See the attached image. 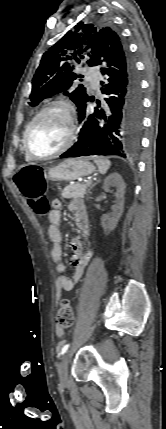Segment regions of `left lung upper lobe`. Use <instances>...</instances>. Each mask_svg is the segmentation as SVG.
<instances>
[{
	"mask_svg": "<svg viewBox=\"0 0 166 429\" xmlns=\"http://www.w3.org/2000/svg\"><path fill=\"white\" fill-rule=\"evenodd\" d=\"M114 36L119 37L110 27L78 23L74 30L68 31L44 53L32 80L29 104L36 106L43 99L63 92L76 104L79 111L89 96L82 86L67 91L77 77H82L72 73L74 63H80V59H89L87 64L94 66L103 42L111 41Z\"/></svg>",
	"mask_w": 166,
	"mask_h": 429,
	"instance_id": "obj_1",
	"label": "left lung upper lobe"
}]
</instances>
